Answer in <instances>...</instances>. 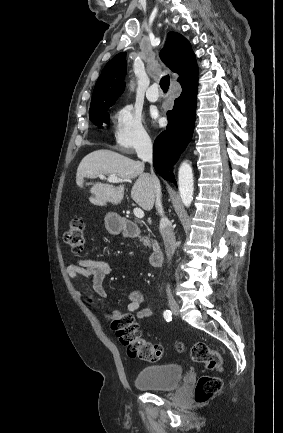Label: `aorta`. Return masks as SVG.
Wrapping results in <instances>:
<instances>
[{"label":"aorta","mask_w":283,"mask_h":433,"mask_svg":"<svg viewBox=\"0 0 283 433\" xmlns=\"http://www.w3.org/2000/svg\"><path fill=\"white\" fill-rule=\"evenodd\" d=\"M178 189L183 204L189 207L193 200L194 179L192 167L188 162H183L180 165L178 172Z\"/></svg>","instance_id":"762f6f07"}]
</instances>
